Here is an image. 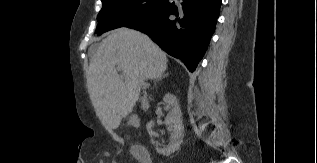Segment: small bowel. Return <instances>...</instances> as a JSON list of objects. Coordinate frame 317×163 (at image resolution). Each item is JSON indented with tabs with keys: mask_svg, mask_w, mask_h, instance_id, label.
<instances>
[{
	"mask_svg": "<svg viewBox=\"0 0 317 163\" xmlns=\"http://www.w3.org/2000/svg\"><path fill=\"white\" fill-rule=\"evenodd\" d=\"M132 152H133V155L135 156V158L137 160H139L141 163H151L150 155L148 154V152L145 155H140V154H138L135 147L133 148Z\"/></svg>",
	"mask_w": 317,
	"mask_h": 163,
	"instance_id": "c3829d8e",
	"label": "small bowel"
}]
</instances>
